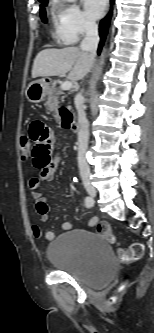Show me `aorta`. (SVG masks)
Instances as JSON below:
<instances>
[{
  "label": "aorta",
  "instance_id": "1",
  "mask_svg": "<svg viewBox=\"0 0 154 333\" xmlns=\"http://www.w3.org/2000/svg\"><path fill=\"white\" fill-rule=\"evenodd\" d=\"M68 2H74L75 0H66ZM104 64V53H102L101 55V60H100V67L98 69V77L99 75L101 74V71H102V65Z\"/></svg>",
  "mask_w": 154,
  "mask_h": 333
}]
</instances>
